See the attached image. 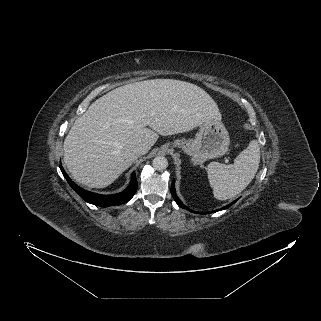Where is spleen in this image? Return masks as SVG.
<instances>
[{
    "label": "spleen",
    "mask_w": 321,
    "mask_h": 321,
    "mask_svg": "<svg viewBox=\"0 0 321 321\" xmlns=\"http://www.w3.org/2000/svg\"><path fill=\"white\" fill-rule=\"evenodd\" d=\"M259 163L260 147L256 140L249 143L233 164L211 162L207 166V174L214 197L227 200L242 192L255 177Z\"/></svg>",
    "instance_id": "spleen-1"
}]
</instances>
